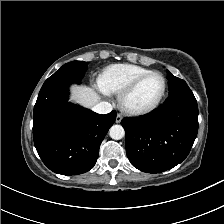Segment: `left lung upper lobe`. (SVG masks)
Returning a JSON list of instances; mask_svg holds the SVG:
<instances>
[{"label": "left lung upper lobe", "mask_w": 224, "mask_h": 224, "mask_svg": "<svg viewBox=\"0 0 224 224\" xmlns=\"http://www.w3.org/2000/svg\"><path fill=\"white\" fill-rule=\"evenodd\" d=\"M168 85H169V93L175 92L183 87H186L187 84L184 80L173 76L168 70Z\"/></svg>", "instance_id": "1"}]
</instances>
